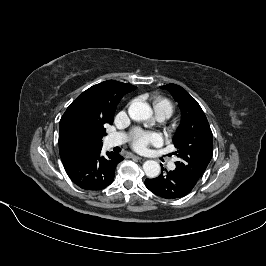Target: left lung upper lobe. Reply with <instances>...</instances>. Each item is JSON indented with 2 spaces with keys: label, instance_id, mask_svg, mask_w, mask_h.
Returning a JSON list of instances; mask_svg holds the SVG:
<instances>
[{
  "label": "left lung upper lobe",
  "instance_id": "1",
  "mask_svg": "<svg viewBox=\"0 0 266 266\" xmlns=\"http://www.w3.org/2000/svg\"><path fill=\"white\" fill-rule=\"evenodd\" d=\"M160 88L170 91L182 111V124L173 138L179 158L175 170L195 185L213 155L212 131L200 105L185 89L172 83Z\"/></svg>",
  "mask_w": 266,
  "mask_h": 266
}]
</instances>
